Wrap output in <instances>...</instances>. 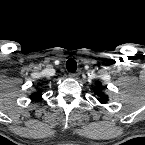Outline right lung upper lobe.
I'll use <instances>...</instances> for the list:
<instances>
[{
  "instance_id": "1",
  "label": "right lung upper lobe",
  "mask_w": 145,
  "mask_h": 145,
  "mask_svg": "<svg viewBox=\"0 0 145 145\" xmlns=\"http://www.w3.org/2000/svg\"><path fill=\"white\" fill-rule=\"evenodd\" d=\"M32 100L40 101L42 99L41 91L35 92L31 95Z\"/></svg>"
}]
</instances>
